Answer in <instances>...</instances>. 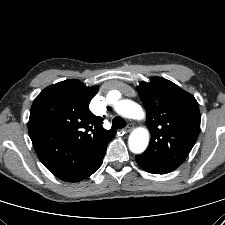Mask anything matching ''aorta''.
Instances as JSON below:
<instances>
[{
	"mask_svg": "<svg viewBox=\"0 0 225 225\" xmlns=\"http://www.w3.org/2000/svg\"><path fill=\"white\" fill-rule=\"evenodd\" d=\"M108 101H111V93L107 96ZM115 111L126 118L143 119L144 112L140 105L137 103L123 99L114 103ZM149 143V131L146 128L138 127L134 129L128 138V146L131 152L135 154L143 153Z\"/></svg>",
	"mask_w": 225,
	"mask_h": 225,
	"instance_id": "obj_1",
	"label": "aorta"
}]
</instances>
